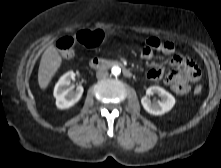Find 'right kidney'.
<instances>
[{"instance_id": "ca27d5eb", "label": "right kidney", "mask_w": 221, "mask_h": 168, "mask_svg": "<svg viewBox=\"0 0 221 168\" xmlns=\"http://www.w3.org/2000/svg\"><path fill=\"white\" fill-rule=\"evenodd\" d=\"M75 73L69 71L65 73L57 82L54 88V97L56 98V106L59 109H68L74 106L82 97L83 87L81 85L74 89L70 86L71 80L74 79Z\"/></svg>"}]
</instances>
